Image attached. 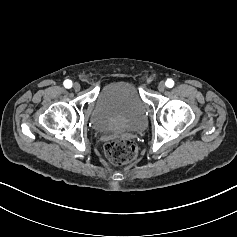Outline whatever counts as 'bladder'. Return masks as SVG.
<instances>
[{
	"mask_svg": "<svg viewBox=\"0 0 237 237\" xmlns=\"http://www.w3.org/2000/svg\"><path fill=\"white\" fill-rule=\"evenodd\" d=\"M146 121L147 104L133 82L114 81L99 91L91 115L95 130H139Z\"/></svg>",
	"mask_w": 237,
	"mask_h": 237,
	"instance_id": "bladder-1",
	"label": "bladder"
}]
</instances>
